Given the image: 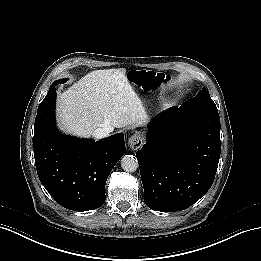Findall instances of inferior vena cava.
I'll use <instances>...</instances> for the list:
<instances>
[{
    "label": "inferior vena cava",
    "mask_w": 261,
    "mask_h": 261,
    "mask_svg": "<svg viewBox=\"0 0 261 261\" xmlns=\"http://www.w3.org/2000/svg\"><path fill=\"white\" fill-rule=\"evenodd\" d=\"M114 128L110 125L108 126H104L101 128H97L94 132H93V137L95 140H99L105 137H108L109 134L111 132H113Z\"/></svg>",
    "instance_id": "obj_1"
}]
</instances>
